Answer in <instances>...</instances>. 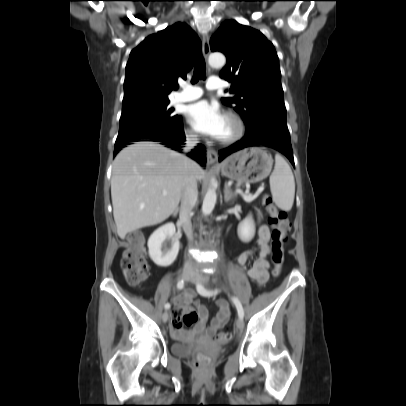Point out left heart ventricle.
Returning <instances> with one entry per match:
<instances>
[{
	"instance_id": "b2bd125f",
	"label": "left heart ventricle",
	"mask_w": 406,
	"mask_h": 406,
	"mask_svg": "<svg viewBox=\"0 0 406 406\" xmlns=\"http://www.w3.org/2000/svg\"><path fill=\"white\" fill-rule=\"evenodd\" d=\"M234 132V126L230 120L224 118V124L219 138H226Z\"/></svg>"
}]
</instances>
